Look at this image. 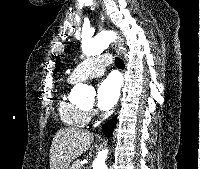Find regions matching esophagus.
Segmentation results:
<instances>
[{"mask_svg": "<svg viewBox=\"0 0 200 169\" xmlns=\"http://www.w3.org/2000/svg\"><path fill=\"white\" fill-rule=\"evenodd\" d=\"M112 48L117 52L118 55L122 56V52L120 50V45L117 41L112 43Z\"/></svg>", "mask_w": 200, "mask_h": 169, "instance_id": "34e87169", "label": "esophagus"}]
</instances>
